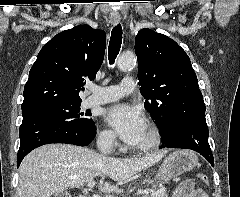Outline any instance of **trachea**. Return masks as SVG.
<instances>
[{
  "instance_id": "1",
  "label": "trachea",
  "mask_w": 240,
  "mask_h": 197,
  "mask_svg": "<svg viewBox=\"0 0 240 197\" xmlns=\"http://www.w3.org/2000/svg\"><path fill=\"white\" fill-rule=\"evenodd\" d=\"M121 44H122V27L120 24H118L113 28L111 32L108 49L110 64H113L115 62V59L120 51Z\"/></svg>"
}]
</instances>
